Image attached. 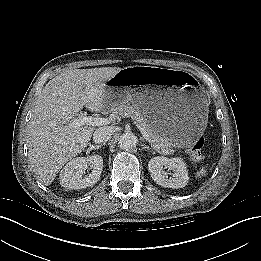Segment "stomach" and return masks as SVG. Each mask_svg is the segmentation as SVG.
Returning a JSON list of instances; mask_svg holds the SVG:
<instances>
[{
    "label": "stomach",
    "instance_id": "obj_1",
    "mask_svg": "<svg viewBox=\"0 0 261 261\" xmlns=\"http://www.w3.org/2000/svg\"><path fill=\"white\" fill-rule=\"evenodd\" d=\"M133 75L145 76L141 90L123 84L107 86L106 107L131 102L145 112L157 135L179 148L191 146L205 130L208 116L207 99L196 80L172 69L127 67L112 81Z\"/></svg>",
    "mask_w": 261,
    "mask_h": 261
}]
</instances>
